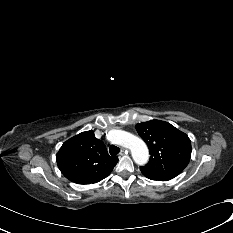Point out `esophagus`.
<instances>
[{
    "instance_id": "34e87169",
    "label": "esophagus",
    "mask_w": 233,
    "mask_h": 233,
    "mask_svg": "<svg viewBox=\"0 0 233 233\" xmlns=\"http://www.w3.org/2000/svg\"><path fill=\"white\" fill-rule=\"evenodd\" d=\"M128 152H129L128 149H122L120 155L127 154Z\"/></svg>"
}]
</instances>
